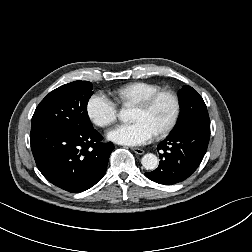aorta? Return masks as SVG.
<instances>
[{"label": "aorta", "mask_w": 252, "mask_h": 252, "mask_svg": "<svg viewBox=\"0 0 252 252\" xmlns=\"http://www.w3.org/2000/svg\"><path fill=\"white\" fill-rule=\"evenodd\" d=\"M132 112L130 108L123 107L119 112V119L123 122H127L131 119ZM141 163L143 167L147 170H155L158 167V158L152 153L145 154L142 157Z\"/></svg>", "instance_id": "762f6f07"}]
</instances>
